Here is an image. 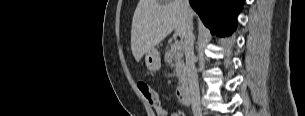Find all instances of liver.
<instances>
[{
	"mask_svg": "<svg viewBox=\"0 0 305 116\" xmlns=\"http://www.w3.org/2000/svg\"><path fill=\"white\" fill-rule=\"evenodd\" d=\"M188 15L195 13L190 8ZM186 18L182 0H140L132 20L131 50L137 62L173 30L183 39Z\"/></svg>",
	"mask_w": 305,
	"mask_h": 116,
	"instance_id": "6515ba94",
	"label": "liver"
}]
</instances>
